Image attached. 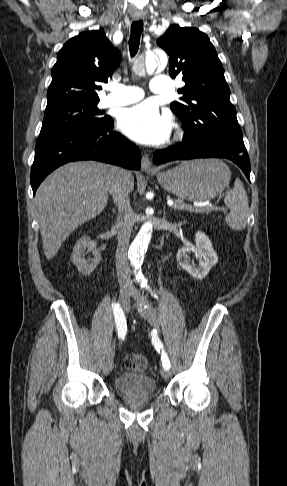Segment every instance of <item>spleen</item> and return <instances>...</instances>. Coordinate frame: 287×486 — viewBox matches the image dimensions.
Listing matches in <instances>:
<instances>
[{
    "label": "spleen",
    "mask_w": 287,
    "mask_h": 486,
    "mask_svg": "<svg viewBox=\"0 0 287 486\" xmlns=\"http://www.w3.org/2000/svg\"><path fill=\"white\" fill-rule=\"evenodd\" d=\"M224 203L230 208L225 218L229 227L236 231L245 229L249 216V202L239 178L235 180L233 189L226 192Z\"/></svg>",
    "instance_id": "obj_1"
}]
</instances>
